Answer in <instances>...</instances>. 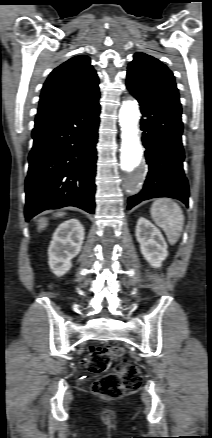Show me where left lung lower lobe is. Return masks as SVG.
I'll list each match as a JSON object with an SVG mask.
<instances>
[{
	"label": "left lung lower lobe",
	"instance_id": "1",
	"mask_svg": "<svg viewBox=\"0 0 212 438\" xmlns=\"http://www.w3.org/2000/svg\"><path fill=\"white\" fill-rule=\"evenodd\" d=\"M127 87L140 104V128L148 164L143 189L129 198L128 209L156 197L176 198L188 205L189 187L183 170L181 104Z\"/></svg>",
	"mask_w": 212,
	"mask_h": 438
}]
</instances>
